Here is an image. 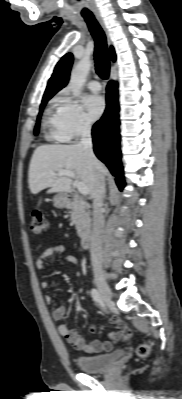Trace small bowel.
Returning a JSON list of instances; mask_svg holds the SVG:
<instances>
[{
    "mask_svg": "<svg viewBox=\"0 0 182 399\" xmlns=\"http://www.w3.org/2000/svg\"><path fill=\"white\" fill-rule=\"evenodd\" d=\"M55 255L63 256L64 261L78 266V260L74 255H65V247L63 245H56L45 249L36 260V267L38 269H43L45 267V261ZM41 287L47 289L49 287L48 281H42ZM45 301L48 305H51L53 299L50 295L45 296ZM66 314L65 308L63 306L54 307L51 311L52 318L55 321H61L64 319ZM110 322L115 325V329L109 334V340L102 342L99 340H94L92 342H86L83 337H81L75 330L70 329L65 323H61L58 327V331L62 337H64L69 344H71L75 349L82 351L87 355H95L100 352H108L113 348L114 342H116L123 329L124 323L117 315H112ZM90 333H97L98 329L94 325H89L88 327Z\"/></svg>",
    "mask_w": 182,
    "mask_h": 399,
    "instance_id": "1",
    "label": "small bowel"
}]
</instances>
